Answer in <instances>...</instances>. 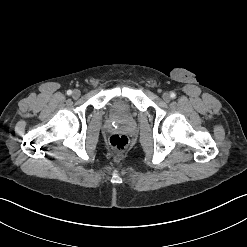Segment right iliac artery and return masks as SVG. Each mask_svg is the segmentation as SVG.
I'll use <instances>...</instances> for the list:
<instances>
[{
	"label": "right iliac artery",
	"instance_id": "82829eb1",
	"mask_svg": "<svg viewBox=\"0 0 247 247\" xmlns=\"http://www.w3.org/2000/svg\"><path fill=\"white\" fill-rule=\"evenodd\" d=\"M72 94V91L71 90H68L67 91V95H71Z\"/></svg>",
	"mask_w": 247,
	"mask_h": 247
}]
</instances>
